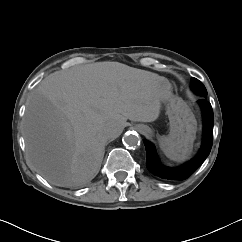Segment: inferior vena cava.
<instances>
[{"label":"inferior vena cava","mask_w":242,"mask_h":242,"mask_svg":"<svg viewBox=\"0 0 242 242\" xmlns=\"http://www.w3.org/2000/svg\"><path fill=\"white\" fill-rule=\"evenodd\" d=\"M122 131V126L118 122H112L107 129V134L110 138H117Z\"/></svg>","instance_id":"inferior-vena-cava-1"}]
</instances>
